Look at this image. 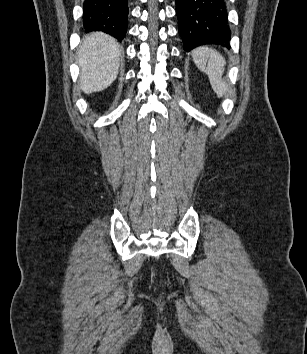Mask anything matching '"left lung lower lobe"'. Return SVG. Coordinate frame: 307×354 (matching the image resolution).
Segmentation results:
<instances>
[{
  "mask_svg": "<svg viewBox=\"0 0 307 354\" xmlns=\"http://www.w3.org/2000/svg\"><path fill=\"white\" fill-rule=\"evenodd\" d=\"M176 13L185 51L203 44L229 46L225 0H176Z\"/></svg>",
  "mask_w": 307,
  "mask_h": 354,
  "instance_id": "obj_1",
  "label": "left lung lower lobe"
}]
</instances>
